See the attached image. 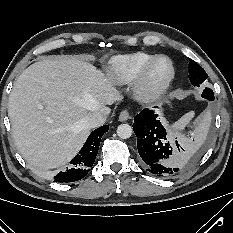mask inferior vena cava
Returning a JSON list of instances; mask_svg holds the SVG:
<instances>
[{"mask_svg":"<svg viewBox=\"0 0 233 233\" xmlns=\"http://www.w3.org/2000/svg\"><path fill=\"white\" fill-rule=\"evenodd\" d=\"M108 114V108H104L101 111L91 113L86 118V124L89 128H97L102 126L106 122Z\"/></svg>","mask_w":233,"mask_h":233,"instance_id":"602c4592","label":"inferior vena cava"}]
</instances>
